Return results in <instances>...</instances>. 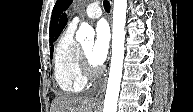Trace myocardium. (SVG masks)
<instances>
[{"label": "myocardium", "mask_w": 193, "mask_h": 112, "mask_svg": "<svg viewBox=\"0 0 193 112\" xmlns=\"http://www.w3.org/2000/svg\"><path fill=\"white\" fill-rule=\"evenodd\" d=\"M79 65L82 75L87 80L94 79L101 73V68L92 65L81 46L79 47Z\"/></svg>", "instance_id": "myocardium-1"}]
</instances>
